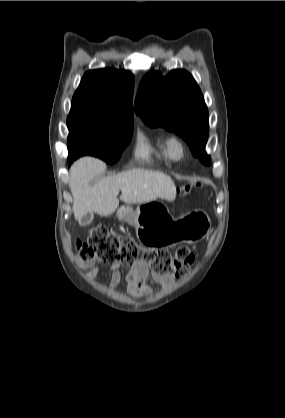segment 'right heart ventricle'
Listing matches in <instances>:
<instances>
[{
    "instance_id": "1",
    "label": "right heart ventricle",
    "mask_w": 285,
    "mask_h": 418,
    "mask_svg": "<svg viewBox=\"0 0 285 418\" xmlns=\"http://www.w3.org/2000/svg\"><path fill=\"white\" fill-rule=\"evenodd\" d=\"M134 156L144 161L168 158L163 140L144 131L136 135Z\"/></svg>"
}]
</instances>
